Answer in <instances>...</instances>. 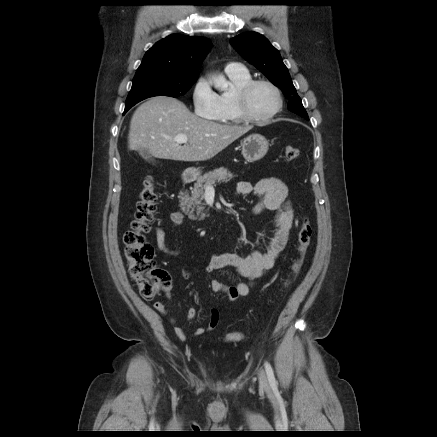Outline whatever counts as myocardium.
I'll use <instances>...</instances> for the list:
<instances>
[{
	"label": "myocardium",
	"instance_id": "1",
	"mask_svg": "<svg viewBox=\"0 0 437 437\" xmlns=\"http://www.w3.org/2000/svg\"><path fill=\"white\" fill-rule=\"evenodd\" d=\"M258 85H266L270 87L273 92L275 93L277 104L275 109L268 115L263 117L255 116L251 113L249 108V98L250 94L253 91V89ZM236 106L237 110L241 116V118L244 121L250 122V123H266L275 118L283 107V97L281 94L280 89L276 84L273 82L266 80V79H252L249 82H247L245 85H243L237 92H236Z\"/></svg>",
	"mask_w": 437,
	"mask_h": 437
}]
</instances>
